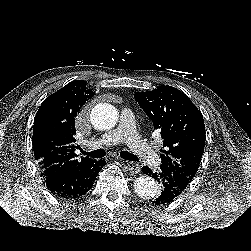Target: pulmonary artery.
Returning a JSON list of instances; mask_svg holds the SVG:
<instances>
[{
    "instance_id": "obj_1",
    "label": "pulmonary artery",
    "mask_w": 251,
    "mask_h": 251,
    "mask_svg": "<svg viewBox=\"0 0 251 251\" xmlns=\"http://www.w3.org/2000/svg\"><path fill=\"white\" fill-rule=\"evenodd\" d=\"M120 142L127 143L131 149L137 153L151 167L157 168L160 165L158 155L153 150L152 146L147 144L137 133L136 124L133 114L124 109L121 114V122L119 126L106 133L99 141L94 142V145L112 146Z\"/></svg>"
}]
</instances>
